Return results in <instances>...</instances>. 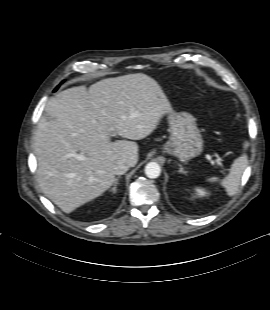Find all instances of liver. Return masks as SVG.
<instances>
[{
	"instance_id": "obj_1",
	"label": "liver",
	"mask_w": 270,
	"mask_h": 310,
	"mask_svg": "<svg viewBox=\"0 0 270 310\" xmlns=\"http://www.w3.org/2000/svg\"><path fill=\"white\" fill-rule=\"evenodd\" d=\"M45 111L52 120L41 118L34 136L38 182L47 198L71 213L114 184L118 161L137 164L138 144L111 137L141 140L172 108L154 79L136 73L62 91Z\"/></svg>"
}]
</instances>
